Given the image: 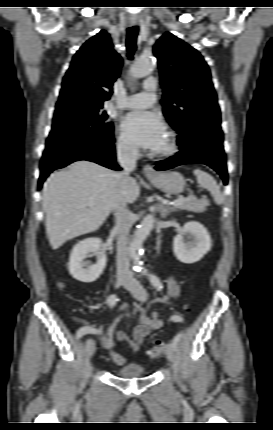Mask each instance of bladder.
I'll list each match as a JSON object with an SVG mask.
<instances>
[{"mask_svg":"<svg viewBox=\"0 0 273 430\" xmlns=\"http://www.w3.org/2000/svg\"><path fill=\"white\" fill-rule=\"evenodd\" d=\"M144 373V367L138 363H129L117 371L119 377L128 379L141 377Z\"/></svg>","mask_w":273,"mask_h":430,"instance_id":"obj_1","label":"bladder"}]
</instances>
